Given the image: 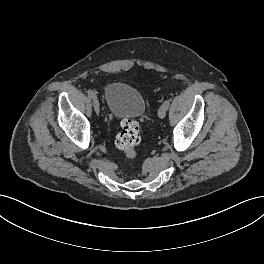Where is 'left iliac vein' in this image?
<instances>
[{
  "instance_id": "1",
  "label": "left iliac vein",
  "mask_w": 264,
  "mask_h": 264,
  "mask_svg": "<svg viewBox=\"0 0 264 264\" xmlns=\"http://www.w3.org/2000/svg\"><path fill=\"white\" fill-rule=\"evenodd\" d=\"M166 111H167V108L164 105H161L159 110H158V116H159L160 119L165 118Z\"/></svg>"
}]
</instances>
